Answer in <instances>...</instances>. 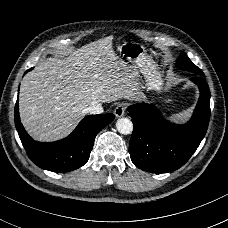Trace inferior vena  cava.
<instances>
[{
	"label": "inferior vena cava",
	"mask_w": 228,
	"mask_h": 228,
	"mask_svg": "<svg viewBox=\"0 0 228 228\" xmlns=\"http://www.w3.org/2000/svg\"><path fill=\"white\" fill-rule=\"evenodd\" d=\"M83 112L88 114H102L104 110L101 103H93L92 105L85 108Z\"/></svg>",
	"instance_id": "602c4592"
}]
</instances>
